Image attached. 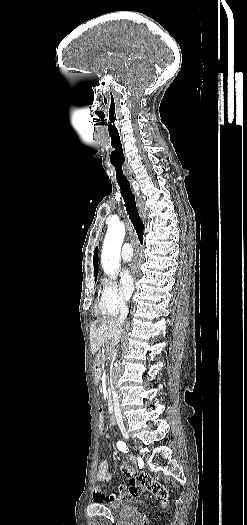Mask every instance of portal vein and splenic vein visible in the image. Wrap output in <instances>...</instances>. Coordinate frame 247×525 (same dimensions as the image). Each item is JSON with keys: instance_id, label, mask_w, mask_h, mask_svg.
<instances>
[{"instance_id": "1", "label": "portal vein and splenic vein", "mask_w": 247, "mask_h": 525, "mask_svg": "<svg viewBox=\"0 0 247 525\" xmlns=\"http://www.w3.org/2000/svg\"><path fill=\"white\" fill-rule=\"evenodd\" d=\"M105 364H99V370H104Z\"/></svg>"}]
</instances>
